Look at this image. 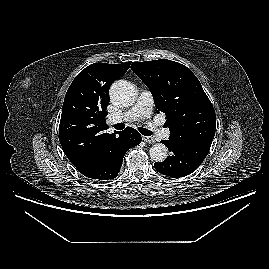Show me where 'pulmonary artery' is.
<instances>
[{"instance_id": "obj_1", "label": "pulmonary artery", "mask_w": 269, "mask_h": 269, "mask_svg": "<svg viewBox=\"0 0 269 269\" xmlns=\"http://www.w3.org/2000/svg\"><path fill=\"white\" fill-rule=\"evenodd\" d=\"M153 109V97L148 91H143L135 105L130 108L128 111L121 115L110 116L109 122L116 124L119 122H131L142 118H148ZM150 127H153V131L157 137L168 138L170 132L168 129L154 127L152 124H149Z\"/></svg>"}]
</instances>
